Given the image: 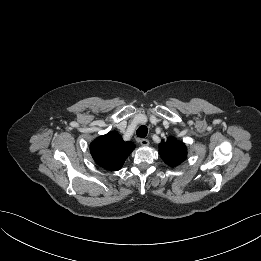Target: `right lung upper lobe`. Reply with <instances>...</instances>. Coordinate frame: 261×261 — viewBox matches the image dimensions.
<instances>
[{
  "label": "right lung upper lobe",
  "mask_w": 261,
  "mask_h": 261,
  "mask_svg": "<svg viewBox=\"0 0 261 261\" xmlns=\"http://www.w3.org/2000/svg\"><path fill=\"white\" fill-rule=\"evenodd\" d=\"M134 148L132 142H125L121 135L113 131L98 137L90 146L95 162L110 171L121 169Z\"/></svg>",
  "instance_id": "1"
}]
</instances>
